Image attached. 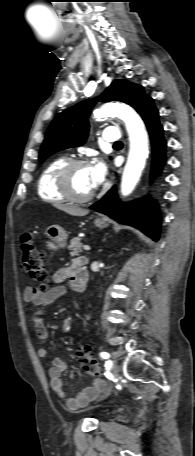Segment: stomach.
Listing matches in <instances>:
<instances>
[{
    "label": "stomach",
    "instance_id": "obj_1",
    "mask_svg": "<svg viewBox=\"0 0 195 456\" xmlns=\"http://www.w3.org/2000/svg\"><path fill=\"white\" fill-rule=\"evenodd\" d=\"M94 224L98 228H106L108 226L104 219L97 218ZM46 235L51 241V248L64 247L66 245L67 233L59 225H51L46 230Z\"/></svg>",
    "mask_w": 195,
    "mask_h": 456
}]
</instances>
